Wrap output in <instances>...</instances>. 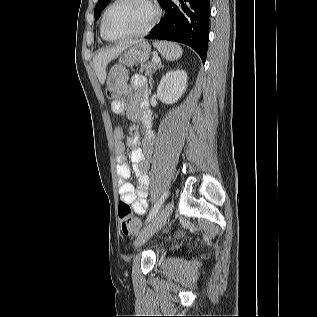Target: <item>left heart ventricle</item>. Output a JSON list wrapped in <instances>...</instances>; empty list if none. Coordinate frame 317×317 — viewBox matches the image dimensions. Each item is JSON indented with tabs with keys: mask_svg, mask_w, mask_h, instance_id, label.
Here are the masks:
<instances>
[{
	"mask_svg": "<svg viewBox=\"0 0 317 317\" xmlns=\"http://www.w3.org/2000/svg\"><path fill=\"white\" fill-rule=\"evenodd\" d=\"M151 18L150 8L141 0H123L117 4L106 22L111 37H121L142 30Z\"/></svg>",
	"mask_w": 317,
	"mask_h": 317,
	"instance_id": "obj_1",
	"label": "left heart ventricle"
}]
</instances>
